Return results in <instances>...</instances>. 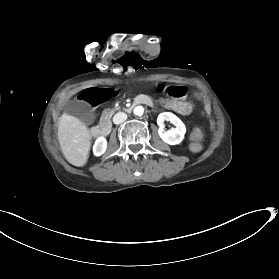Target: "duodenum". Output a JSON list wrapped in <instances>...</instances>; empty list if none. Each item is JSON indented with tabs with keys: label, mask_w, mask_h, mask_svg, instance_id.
Returning a JSON list of instances; mask_svg holds the SVG:
<instances>
[{
	"label": "duodenum",
	"mask_w": 279,
	"mask_h": 279,
	"mask_svg": "<svg viewBox=\"0 0 279 279\" xmlns=\"http://www.w3.org/2000/svg\"><path fill=\"white\" fill-rule=\"evenodd\" d=\"M141 102H145L149 106H152L154 104V101L150 97H146L144 94H141L134 101H131L129 103L127 107V113H132L135 110V106H138ZM105 126L106 127L104 128V130L92 127L90 129L92 137L95 139H103L104 137H107L112 130V121L110 119H107L105 121Z\"/></svg>",
	"instance_id": "410a0bca"
}]
</instances>
